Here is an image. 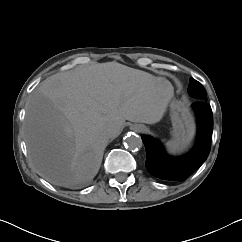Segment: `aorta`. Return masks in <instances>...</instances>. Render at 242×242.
Listing matches in <instances>:
<instances>
[{"label":"aorta","instance_id":"obj_1","mask_svg":"<svg viewBox=\"0 0 242 242\" xmlns=\"http://www.w3.org/2000/svg\"><path fill=\"white\" fill-rule=\"evenodd\" d=\"M124 144L129 149H138L142 146V140L137 134L128 133L124 138Z\"/></svg>","mask_w":242,"mask_h":242}]
</instances>
